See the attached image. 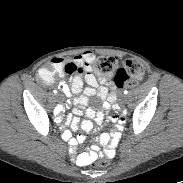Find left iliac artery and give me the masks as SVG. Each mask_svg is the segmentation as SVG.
I'll list each match as a JSON object with an SVG mask.
<instances>
[{"label": "left iliac artery", "instance_id": "1", "mask_svg": "<svg viewBox=\"0 0 183 183\" xmlns=\"http://www.w3.org/2000/svg\"><path fill=\"white\" fill-rule=\"evenodd\" d=\"M124 94H128V90H125V91H124Z\"/></svg>", "mask_w": 183, "mask_h": 183}]
</instances>
